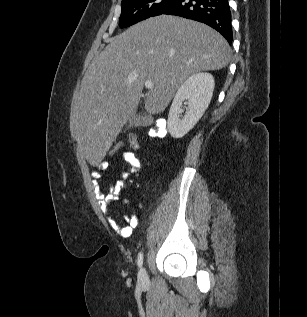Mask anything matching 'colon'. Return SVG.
Here are the masks:
<instances>
[{"label": "colon", "mask_w": 307, "mask_h": 317, "mask_svg": "<svg viewBox=\"0 0 307 317\" xmlns=\"http://www.w3.org/2000/svg\"><path fill=\"white\" fill-rule=\"evenodd\" d=\"M166 134V120L157 119L154 121L153 125L149 128V135L152 138H163ZM139 146L138 138L135 133L130 132L128 134V141L124 143H115L113 144L108 151V155L112 158L121 156L124 152H133Z\"/></svg>", "instance_id": "colon-1"}]
</instances>
